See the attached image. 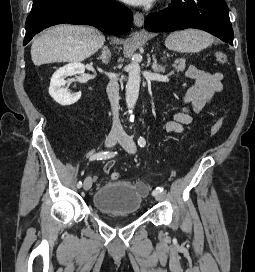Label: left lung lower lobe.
Segmentation results:
<instances>
[{
    "label": "left lung lower lobe",
    "instance_id": "left-lung-lower-lobe-1",
    "mask_svg": "<svg viewBox=\"0 0 255 272\" xmlns=\"http://www.w3.org/2000/svg\"><path fill=\"white\" fill-rule=\"evenodd\" d=\"M144 27L151 32L202 29L233 45V29L225 0H172L168 8L151 13Z\"/></svg>",
    "mask_w": 255,
    "mask_h": 272
}]
</instances>
